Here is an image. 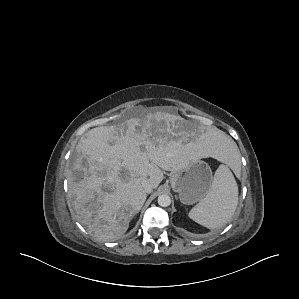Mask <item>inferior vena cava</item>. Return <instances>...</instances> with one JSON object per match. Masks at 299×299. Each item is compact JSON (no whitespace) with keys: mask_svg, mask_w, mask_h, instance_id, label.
Returning <instances> with one entry per match:
<instances>
[{"mask_svg":"<svg viewBox=\"0 0 299 299\" xmlns=\"http://www.w3.org/2000/svg\"><path fill=\"white\" fill-rule=\"evenodd\" d=\"M142 187H143V190L145 191V193H151V191L153 189L151 184L147 180L142 181Z\"/></svg>","mask_w":299,"mask_h":299,"instance_id":"inferior-vena-cava-1","label":"inferior vena cava"}]
</instances>
